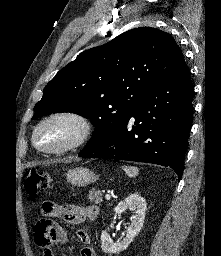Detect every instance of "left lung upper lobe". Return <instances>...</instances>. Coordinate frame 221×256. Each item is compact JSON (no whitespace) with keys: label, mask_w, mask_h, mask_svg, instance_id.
I'll return each mask as SVG.
<instances>
[{"label":"left lung upper lobe","mask_w":221,"mask_h":256,"mask_svg":"<svg viewBox=\"0 0 221 256\" xmlns=\"http://www.w3.org/2000/svg\"><path fill=\"white\" fill-rule=\"evenodd\" d=\"M185 65L180 48L168 33L150 27L131 29L83 51L61 69L45 86L33 119L55 112L88 118L95 126L89 146Z\"/></svg>","instance_id":"5c2ea615"}]
</instances>
